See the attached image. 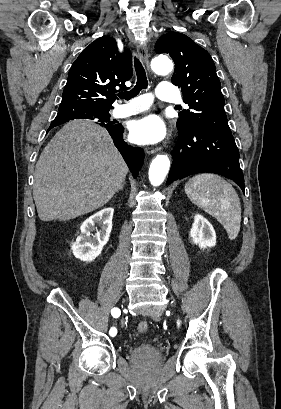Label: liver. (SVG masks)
<instances>
[{
	"label": "liver",
	"mask_w": 281,
	"mask_h": 409,
	"mask_svg": "<svg viewBox=\"0 0 281 409\" xmlns=\"http://www.w3.org/2000/svg\"><path fill=\"white\" fill-rule=\"evenodd\" d=\"M127 172L106 128L86 118L70 120L35 166L33 198L39 219L68 221L103 207Z\"/></svg>",
	"instance_id": "obj_1"
}]
</instances>
